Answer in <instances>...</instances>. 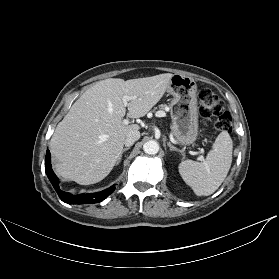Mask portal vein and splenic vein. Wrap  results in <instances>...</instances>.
Returning <instances> with one entry per match:
<instances>
[{
    "mask_svg": "<svg viewBox=\"0 0 279 279\" xmlns=\"http://www.w3.org/2000/svg\"><path fill=\"white\" fill-rule=\"evenodd\" d=\"M135 97H131V96H124L123 97V103H124V105L125 106H127L128 105V101L129 100H132V99H134ZM158 117H161V116H163V113L162 112H158L157 114H156ZM123 123L124 124H126V125H128L129 124V120L128 119H124L123 120ZM202 159V157H200V160Z\"/></svg>",
    "mask_w": 279,
    "mask_h": 279,
    "instance_id": "obj_1",
    "label": "portal vein and splenic vein"
}]
</instances>
